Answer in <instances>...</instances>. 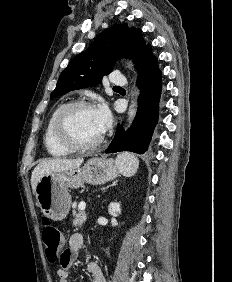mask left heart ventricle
<instances>
[{"mask_svg": "<svg viewBox=\"0 0 232 282\" xmlns=\"http://www.w3.org/2000/svg\"><path fill=\"white\" fill-rule=\"evenodd\" d=\"M68 136L79 144H88L97 140L103 133L97 123L94 108L73 110L65 124Z\"/></svg>", "mask_w": 232, "mask_h": 282, "instance_id": "1", "label": "left heart ventricle"}]
</instances>
